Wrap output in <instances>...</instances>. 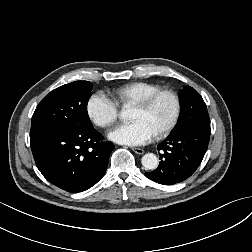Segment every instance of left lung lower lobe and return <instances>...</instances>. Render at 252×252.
Masks as SVG:
<instances>
[{"label":"left lung lower lobe","instance_id":"left-lung-lower-lobe-1","mask_svg":"<svg viewBox=\"0 0 252 252\" xmlns=\"http://www.w3.org/2000/svg\"><path fill=\"white\" fill-rule=\"evenodd\" d=\"M210 138V127H191L170 135L158 145L161 150L157 169L145 175L163 185H172L190 177L200 165Z\"/></svg>","mask_w":252,"mask_h":252}]
</instances>
